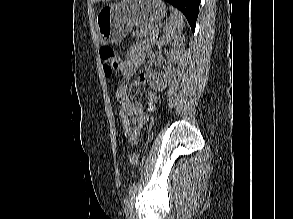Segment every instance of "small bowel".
I'll return each mask as SVG.
<instances>
[{
  "label": "small bowel",
  "mask_w": 293,
  "mask_h": 219,
  "mask_svg": "<svg viewBox=\"0 0 293 219\" xmlns=\"http://www.w3.org/2000/svg\"><path fill=\"white\" fill-rule=\"evenodd\" d=\"M149 49L150 45L147 41H139L130 48L120 69L121 75L124 78L131 77L137 71ZM145 83L146 76L140 74L138 79L133 81L132 85L134 87H141L144 86ZM115 96L119 103V115L123 134L132 145H135L148 120V116L140 103L131 100L128 92V85L125 82L118 84L115 90ZM146 98L147 108L148 110H152L155 107L157 95L150 91L147 93Z\"/></svg>",
  "instance_id": "1"
}]
</instances>
